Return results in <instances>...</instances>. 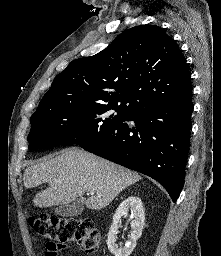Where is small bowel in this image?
<instances>
[{"mask_svg":"<svg viewBox=\"0 0 221 256\" xmlns=\"http://www.w3.org/2000/svg\"><path fill=\"white\" fill-rule=\"evenodd\" d=\"M45 256H55V255H54V254L49 253L48 251H46Z\"/></svg>","mask_w":221,"mask_h":256,"instance_id":"obj_1","label":"small bowel"}]
</instances>
